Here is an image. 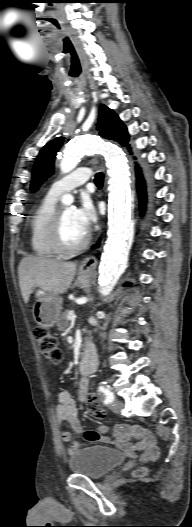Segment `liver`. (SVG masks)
I'll use <instances>...</instances> for the list:
<instances>
[{
    "mask_svg": "<svg viewBox=\"0 0 192 527\" xmlns=\"http://www.w3.org/2000/svg\"><path fill=\"white\" fill-rule=\"evenodd\" d=\"M77 265L42 256H26L18 267L19 285L25 303L31 291L39 287L53 295L63 294L72 283Z\"/></svg>",
    "mask_w": 192,
    "mask_h": 527,
    "instance_id": "liver-1",
    "label": "liver"
}]
</instances>
